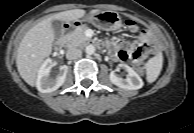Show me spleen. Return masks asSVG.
Listing matches in <instances>:
<instances>
[{
    "label": "spleen",
    "instance_id": "obj_1",
    "mask_svg": "<svg viewBox=\"0 0 194 133\" xmlns=\"http://www.w3.org/2000/svg\"><path fill=\"white\" fill-rule=\"evenodd\" d=\"M163 57L161 53L148 60L146 64V80L148 83H153L162 70Z\"/></svg>",
    "mask_w": 194,
    "mask_h": 133
}]
</instances>
